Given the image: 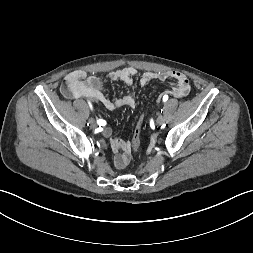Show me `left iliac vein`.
<instances>
[{"label":"left iliac vein","mask_w":253,"mask_h":253,"mask_svg":"<svg viewBox=\"0 0 253 253\" xmlns=\"http://www.w3.org/2000/svg\"><path fill=\"white\" fill-rule=\"evenodd\" d=\"M165 123V118L163 116H158L157 119H156V124L158 126H161Z\"/></svg>","instance_id":"1"}]
</instances>
